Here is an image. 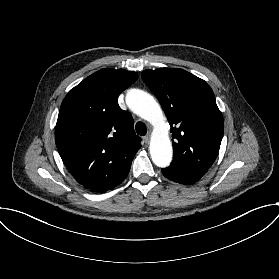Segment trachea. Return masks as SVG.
Returning <instances> with one entry per match:
<instances>
[{
	"mask_svg": "<svg viewBox=\"0 0 279 279\" xmlns=\"http://www.w3.org/2000/svg\"><path fill=\"white\" fill-rule=\"evenodd\" d=\"M136 131L138 135H145L147 132L146 125L142 122H137Z\"/></svg>",
	"mask_w": 279,
	"mask_h": 279,
	"instance_id": "1",
	"label": "trachea"
}]
</instances>
